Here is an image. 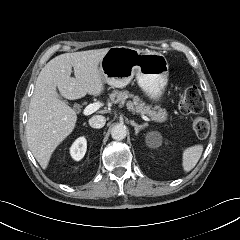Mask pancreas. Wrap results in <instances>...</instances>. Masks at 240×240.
I'll return each instance as SVG.
<instances>
[{
    "mask_svg": "<svg viewBox=\"0 0 240 240\" xmlns=\"http://www.w3.org/2000/svg\"><path fill=\"white\" fill-rule=\"evenodd\" d=\"M129 97H132L133 101H127L126 103V99ZM110 100L113 103H126L127 107L132 111L142 115H147L154 121L164 122L167 120V114L165 111H163L162 109H158V111H156L157 107L151 108V106L146 105L144 102H142V100L138 96H133L128 91L114 90L110 94Z\"/></svg>",
    "mask_w": 240,
    "mask_h": 240,
    "instance_id": "obj_1",
    "label": "pancreas"
}]
</instances>
